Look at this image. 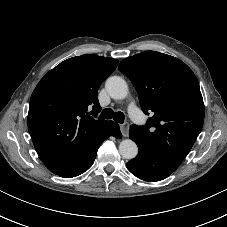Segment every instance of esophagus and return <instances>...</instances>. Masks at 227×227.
<instances>
[{
	"instance_id": "obj_1",
	"label": "esophagus",
	"mask_w": 227,
	"mask_h": 227,
	"mask_svg": "<svg viewBox=\"0 0 227 227\" xmlns=\"http://www.w3.org/2000/svg\"><path fill=\"white\" fill-rule=\"evenodd\" d=\"M120 130H121L123 137H127L128 133H129V123L125 122L124 124H121Z\"/></svg>"
}]
</instances>
